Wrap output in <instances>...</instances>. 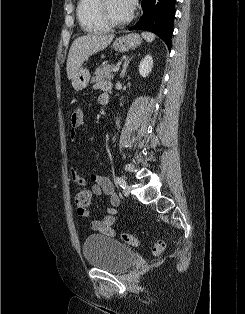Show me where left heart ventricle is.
<instances>
[{
	"label": "left heart ventricle",
	"instance_id": "left-heart-ventricle-1",
	"mask_svg": "<svg viewBox=\"0 0 245 314\" xmlns=\"http://www.w3.org/2000/svg\"><path fill=\"white\" fill-rule=\"evenodd\" d=\"M104 8L106 15L113 21L126 19L132 11L128 9L121 0H106Z\"/></svg>",
	"mask_w": 245,
	"mask_h": 314
}]
</instances>
